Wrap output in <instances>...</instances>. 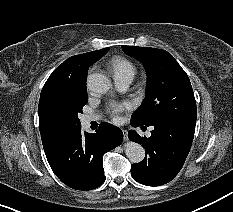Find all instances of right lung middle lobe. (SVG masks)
I'll use <instances>...</instances> for the list:
<instances>
[{"mask_svg": "<svg viewBox=\"0 0 233 212\" xmlns=\"http://www.w3.org/2000/svg\"><path fill=\"white\" fill-rule=\"evenodd\" d=\"M88 102L85 85L67 86L47 93L42 101V114L50 128L61 135L80 128L78 114Z\"/></svg>", "mask_w": 233, "mask_h": 212, "instance_id": "obj_1", "label": "right lung middle lobe"}]
</instances>
